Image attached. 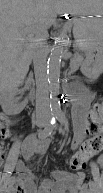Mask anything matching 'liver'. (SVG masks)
Returning a JSON list of instances; mask_svg holds the SVG:
<instances>
[{"mask_svg":"<svg viewBox=\"0 0 103 193\" xmlns=\"http://www.w3.org/2000/svg\"><path fill=\"white\" fill-rule=\"evenodd\" d=\"M79 0H1V72L19 84L28 72L32 37L44 35L60 13H71ZM28 36V38H26Z\"/></svg>","mask_w":103,"mask_h":193,"instance_id":"liver-1","label":"liver"}]
</instances>
